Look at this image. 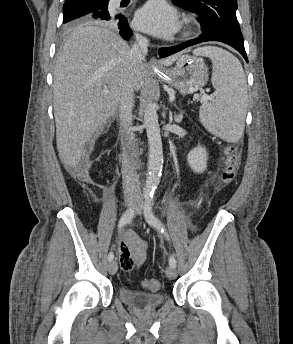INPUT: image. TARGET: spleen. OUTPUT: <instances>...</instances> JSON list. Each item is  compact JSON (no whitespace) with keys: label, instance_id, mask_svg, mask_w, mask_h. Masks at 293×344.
Returning <instances> with one entry per match:
<instances>
[{"label":"spleen","instance_id":"spleen-1","mask_svg":"<svg viewBox=\"0 0 293 344\" xmlns=\"http://www.w3.org/2000/svg\"><path fill=\"white\" fill-rule=\"evenodd\" d=\"M212 60V84L215 99L200 107L203 126L227 142L238 141L244 131L247 107V84L240 61L228 51L206 46L193 51Z\"/></svg>","mask_w":293,"mask_h":344}]
</instances>
